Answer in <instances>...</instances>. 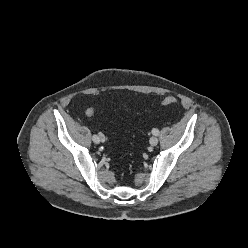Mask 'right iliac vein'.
<instances>
[{
	"mask_svg": "<svg viewBox=\"0 0 248 248\" xmlns=\"http://www.w3.org/2000/svg\"><path fill=\"white\" fill-rule=\"evenodd\" d=\"M99 142H104L105 137L104 136H97Z\"/></svg>",
	"mask_w": 248,
	"mask_h": 248,
	"instance_id": "1",
	"label": "right iliac vein"
}]
</instances>
